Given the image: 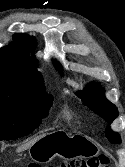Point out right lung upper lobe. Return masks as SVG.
<instances>
[{"mask_svg":"<svg viewBox=\"0 0 125 167\" xmlns=\"http://www.w3.org/2000/svg\"><path fill=\"white\" fill-rule=\"evenodd\" d=\"M15 49H0V94L32 97L45 92L43 79L36 70V61L29 57L36 40L27 34L13 36Z\"/></svg>","mask_w":125,"mask_h":167,"instance_id":"obj_1","label":"right lung upper lobe"}]
</instances>
